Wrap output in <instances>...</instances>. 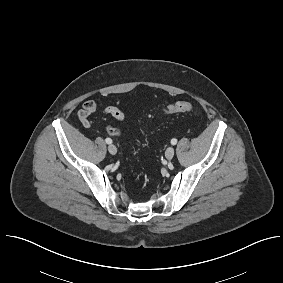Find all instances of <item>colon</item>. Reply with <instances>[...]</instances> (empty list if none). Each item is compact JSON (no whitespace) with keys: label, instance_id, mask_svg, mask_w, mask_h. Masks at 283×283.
Listing matches in <instances>:
<instances>
[{"label":"colon","instance_id":"5ec220e1","mask_svg":"<svg viewBox=\"0 0 283 283\" xmlns=\"http://www.w3.org/2000/svg\"><path fill=\"white\" fill-rule=\"evenodd\" d=\"M194 110V106L185 101H179L168 105L167 107L162 109V114L164 115H173V114H181V113H190ZM108 132L112 135H116V129L109 127Z\"/></svg>","mask_w":283,"mask_h":283}]
</instances>
